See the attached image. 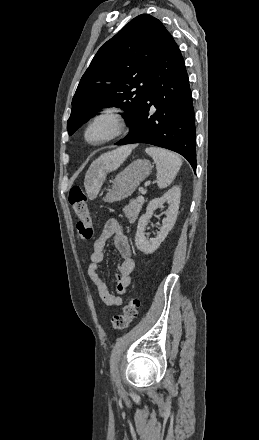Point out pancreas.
<instances>
[{"label":"pancreas","instance_id":"cf45deb5","mask_svg":"<svg viewBox=\"0 0 259 440\" xmlns=\"http://www.w3.org/2000/svg\"><path fill=\"white\" fill-rule=\"evenodd\" d=\"M143 204L144 201L140 202L137 199L131 200L129 204L123 209L126 217L130 221H133L138 216Z\"/></svg>","mask_w":259,"mask_h":440}]
</instances>
